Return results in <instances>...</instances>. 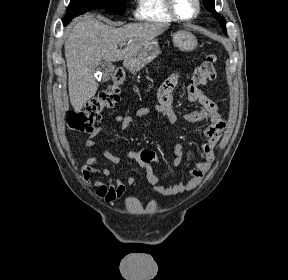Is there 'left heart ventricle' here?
Listing matches in <instances>:
<instances>
[{"label": "left heart ventricle", "mask_w": 288, "mask_h": 280, "mask_svg": "<svg viewBox=\"0 0 288 280\" xmlns=\"http://www.w3.org/2000/svg\"><path fill=\"white\" fill-rule=\"evenodd\" d=\"M175 7L183 18L191 17L196 11L195 0H175Z\"/></svg>", "instance_id": "left-heart-ventricle-1"}]
</instances>
